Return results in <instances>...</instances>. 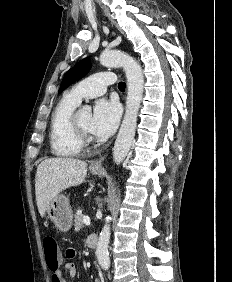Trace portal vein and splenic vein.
<instances>
[{"label": "portal vein and splenic vein", "instance_id": "18ae733b", "mask_svg": "<svg viewBox=\"0 0 232 282\" xmlns=\"http://www.w3.org/2000/svg\"><path fill=\"white\" fill-rule=\"evenodd\" d=\"M83 223H84V224H89V223H90V217L85 215V216L83 217Z\"/></svg>", "mask_w": 232, "mask_h": 282}]
</instances>
